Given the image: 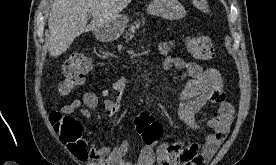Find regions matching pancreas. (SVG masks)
<instances>
[{"mask_svg": "<svg viewBox=\"0 0 276 165\" xmlns=\"http://www.w3.org/2000/svg\"><path fill=\"white\" fill-rule=\"evenodd\" d=\"M143 22V26H144V19L142 20ZM141 26L140 21L138 22H134V24L130 25L129 27V32L126 34V36L124 37L126 39V42H128L129 40L132 39L133 35L135 34L136 30L139 29Z\"/></svg>", "mask_w": 276, "mask_h": 165, "instance_id": "obj_1", "label": "pancreas"}]
</instances>
